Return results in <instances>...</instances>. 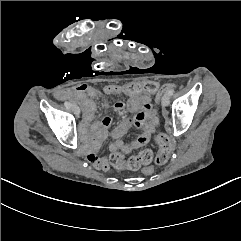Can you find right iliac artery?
I'll return each mask as SVG.
<instances>
[{
  "mask_svg": "<svg viewBox=\"0 0 241 241\" xmlns=\"http://www.w3.org/2000/svg\"><path fill=\"white\" fill-rule=\"evenodd\" d=\"M66 107L70 108L72 106V104L70 102H65L64 103Z\"/></svg>",
  "mask_w": 241,
  "mask_h": 241,
  "instance_id": "obj_1",
  "label": "right iliac artery"
}]
</instances>
